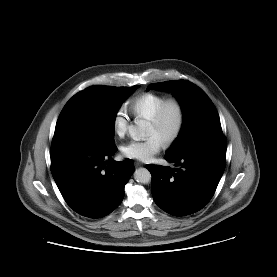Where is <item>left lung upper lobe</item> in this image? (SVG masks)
I'll use <instances>...</instances> for the list:
<instances>
[{
    "label": "left lung upper lobe",
    "instance_id": "obj_1",
    "mask_svg": "<svg viewBox=\"0 0 277 277\" xmlns=\"http://www.w3.org/2000/svg\"><path fill=\"white\" fill-rule=\"evenodd\" d=\"M171 91L180 101L183 110V126L166 156L177 157L197 141L222 135L218 112L208 96L196 85L187 81H168L150 84L147 90Z\"/></svg>",
    "mask_w": 277,
    "mask_h": 277
}]
</instances>
